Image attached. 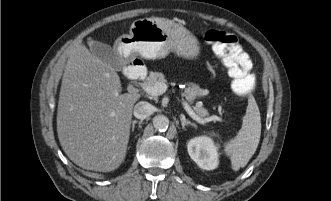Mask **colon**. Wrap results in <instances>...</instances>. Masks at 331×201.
<instances>
[{"mask_svg": "<svg viewBox=\"0 0 331 201\" xmlns=\"http://www.w3.org/2000/svg\"><path fill=\"white\" fill-rule=\"evenodd\" d=\"M205 39L226 66L233 91L240 97H251L256 85L255 77L250 70L249 57L237 38L228 32L212 29L206 32Z\"/></svg>", "mask_w": 331, "mask_h": 201, "instance_id": "obj_1", "label": "colon"}]
</instances>
